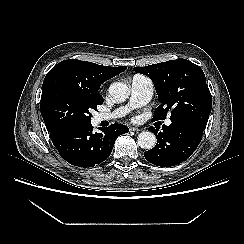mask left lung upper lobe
Returning a JSON list of instances; mask_svg holds the SVG:
<instances>
[{"label":"left lung upper lobe","instance_id":"obj_1","mask_svg":"<svg viewBox=\"0 0 244 244\" xmlns=\"http://www.w3.org/2000/svg\"><path fill=\"white\" fill-rule=\"evenodd\" d=\"M154 83L160 105L152 121L162 120L169 113L172 122H190L206 127L212 98L202 69L186 60L176 59L146 67H134Z\"/></svg>","mask_w":244,"mask_h":244}]
</instances>
